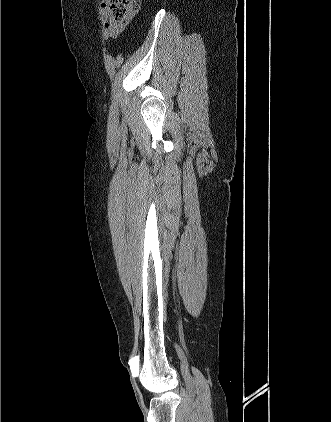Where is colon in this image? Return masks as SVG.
Instances as JSON below:
<instances>
[{
  "instance_id": "1",
  "label": "colon",
  "mask_w": 331,
  "mask_h": 422,
  "mask_svg": "<svg viewBox=\"0 0 331 422\" xmlns=\"http://www.w3.org/2000/svg\"><path fill=\"white\" fill-rule=\"evenodd\" d=\"M111 19L119 24H127L140 7L139 0H107Z\"/></svg>"
}]
</instances>
